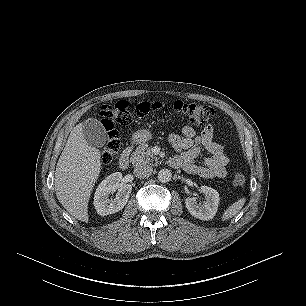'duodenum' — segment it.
<instances>
[{
	"label": "duodenum",
	"instance_id": "obj_1",
	"mask_svg": "<svg viewBox=\"0 0 306 306\" xmlns=\"http://www.w3.org/2000/svg\"><path fill=\"white\" fill-rule=\"evenodd\" d=\"M131 149L132 146L128 145L127 147H125V149L123 150L122 154L119 157L118 165L119 168L122 170L127 169L129 166Z\"/></svg>",
	"mask_w": 306,
	"mask_h": 306
}]
</instances>
